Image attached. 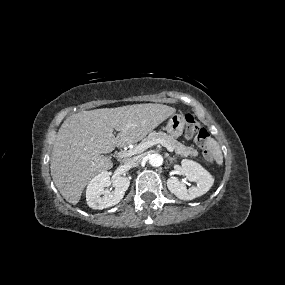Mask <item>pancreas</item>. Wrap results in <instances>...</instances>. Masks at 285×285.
<instances>
[{"instance_id": "1", "label": "pancreas", "mask_w": 285, "mask_h": 285, "mask_svg": "<svg viewBox=\"0 0 285 285\" xmlns=\"http://www.w3.org/2000/svg\"><path fill=\"white\" fill-rule=\"evenodd\" d=\"M154 139L164 140L169 146H171L175 150V153L181 157H196L198 155V151L195 150L192 146H185L184 144L178 142L176 139L162 131H153L149 133V135L142 140V143L149 142ZM135 149H137V147H135Z\"/></svg>"}]
</instances>
